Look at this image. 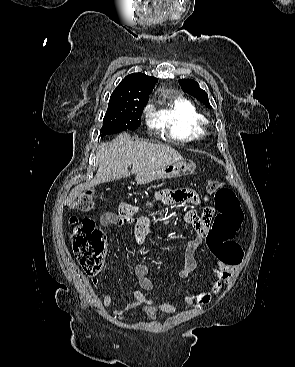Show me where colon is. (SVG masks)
<instances>
[{"label":"colon","instance_id":"1","mask_svg":"<svg viewBox=\"0 0 295 367\" xmlns=\"http://www.w3.org/2000/svg\"><path fill=\"white\" fill-rule=\"evenodd\" d=\"M207 193L214 196L217 215L210 228L207 242L217 255L229 264H239L242 249L233 240L239 230L243 213L236 194L220 181H210ZM94 207V197L90 192L81 194L73 203L80 212L90 211ZM73 232L72 249L81 267L90 275L99 272L105 255L106 243L101 230L97 229L91 218L79 220L71 218Z\"/></svg>","mask_w":295,"mask_h":367}]
</instances>
